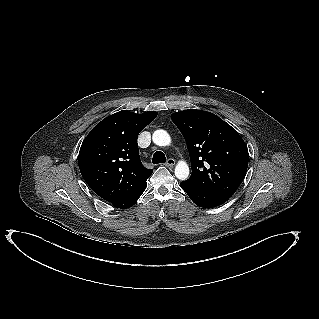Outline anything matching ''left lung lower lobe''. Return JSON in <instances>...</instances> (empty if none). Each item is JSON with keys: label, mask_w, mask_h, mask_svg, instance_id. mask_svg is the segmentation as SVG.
Segmentation results:
<instances>
[{"label": "left lung lower lobe", "mask_w": 319, "mask_h": 319, "mask_svg": "<svg viewBox=\"0 0 319 319\" xmlns=\"http://www.w3.org/2000/svg\"><path fill=\"white\" fill-rule=\"evenodd\" d=\"M181 187L188 194L191 200L200 207H216L228 200L221 196L212 194L208 191L192 186L191 184H188L185 181L181 182Z\"/></svg>", "instance_id": "0a47b994"}]
</instances>
